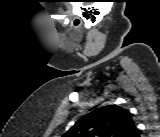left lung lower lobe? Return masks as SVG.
<instances>
[{
  "label": "left lung lower lobe",
  "mask_w": 160,
  "mask_h": 137,
  "mask_svg": "<svg viewBox=\"0 0 160 137\" xmlns=\"http://www.w3.org/2000/svg\"><path fill=\"white\" fill-rule=\"evenodd\" d=\"M138 136H139V133L136 134V137H138Z\"/></svg>",
  "instance_id": "obj_1"
}]
</instances>
